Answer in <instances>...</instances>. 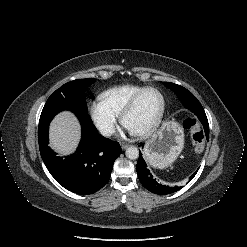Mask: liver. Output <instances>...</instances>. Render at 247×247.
Segmentation results:
<instances>
[{
    "mask_svg": "<svg viewBox=\"0 0 247 247\" xmlns=\"http://www.w3.org/2000/svg\"><path fill=\"white\" fill-rule=\"evenodd\" d=\"M80 139V125L76 117L68 111L55 117L50 125V146L58 153H72Z\"/></svg>",
    "mask_w": 247,
    "mask_h": 247,
    "instance_id": "1",
    "label": "liver"
}]
</instances>
